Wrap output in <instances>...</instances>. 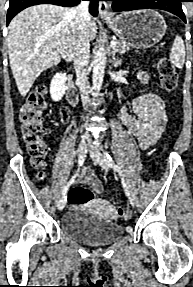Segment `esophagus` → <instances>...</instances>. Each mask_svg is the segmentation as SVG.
<instances>
[{
    "label": "esophagus",
    "instance_id": "34e87169",
    "mask_svg": "<svg viewBox=\"0 0 193 287\" xmlns=\"http://www.w3.org/2000/svg\"><path fill=\"white\" fill-rule=\"evenodd\" d=\"M99 15L102 19L112 18V14L109 11V6L106 0L99 1Z\"/></svg>",
    "mask_w": 193,
    "mask_h": 287
}]
</instances>
